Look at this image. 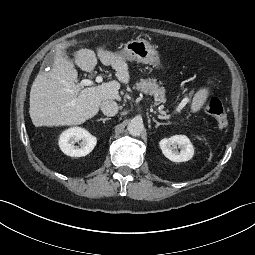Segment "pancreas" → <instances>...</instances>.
<instances>
[{
  "instance_id": "obj_1",
  "label": "pancreas",
  "mask_w": 255,
  "mask_h": 255,
  "mask_svg": "<svg viewBox=\"0 0 255 255\" xmlns=\"http://www.w3.org/2000/svg\"><path fill=\"white\" fill-rule=\"evenodd\" d=\"M161 82L158 84L156 79H141L137 82L134 89L143 92L144 94H149L154 96L155 104L164 103L165 99V89L160 87Z\"/></svg>"
}]
</instances>
